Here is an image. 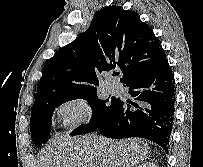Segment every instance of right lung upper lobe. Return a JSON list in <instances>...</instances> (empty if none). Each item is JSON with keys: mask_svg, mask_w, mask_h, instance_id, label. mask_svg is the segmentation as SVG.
<instances>
[{"mask_svg": "<svg viewBox=\"0 0 203 167\" xmlns=\"http://www.w3.org/2000/svg\"><path fill=\"white\" fill-rule=\"evenodd\" d=\"M166 61L152 29L136 12L109 6L96 12L90 27L46 62L32 109L53 98L97 91V72L119 67L124 84Z\"/></svg>", "mask_w": 203, "mask_h": 167, "instance_id": "obj_1", "label": "right lung upper lobe"}]
</instances>
